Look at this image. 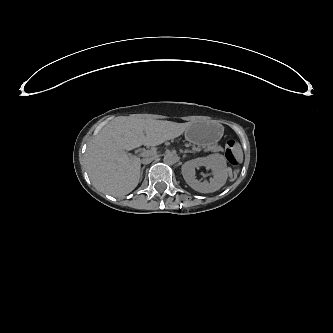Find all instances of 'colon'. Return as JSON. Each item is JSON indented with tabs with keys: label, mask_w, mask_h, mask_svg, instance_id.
Instances as JSON below:
<instances>
[{
	"label": "colon",
	"mask_w": 333,
	"mask_h": 333,
	"mask_svg": "<svg viewBox=\"0 0 333 333\" xmlns=\"http://www.w3.org/2000/svg\"><path fill=\"white\" fill-rule=\"evenodd\" d=\"M226 158L228 159V161L233 164L236 165L238 163V156L234 150L235 147V141L234 140H228L226 142Z\"/></svg>",
	"instance_id": "5ec220e1"
}]
</instances>
